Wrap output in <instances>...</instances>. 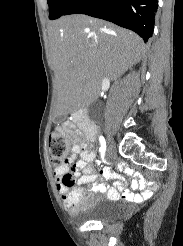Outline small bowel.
<instances>
[{
  "label": "small bowel",
  "mask_w": 183,
  "mask_h": 246,
  "mask_svg": "<svg viewBox=\"0 0 183 246\" xmlns=\"http://www.w3.org/2000/svg\"><path fill=\"white\" fill-rule=\"evenodd\" d=\"M89 140L93 141V139ZM77 154H80V159L74 162ZM95 156V151L91 148L90 144L87 141H81L80 143L73 144L70 147L68 163L64 166L55 168L54 174L56 177V187L66 209L75 213L78 210L87 207L92 202L93 197H84L80 189H74L71 191L70 188L73 186L74 182L73 184H67L65 183L64 178H74V181L77 180V182L83 185L87 190L95 193H105L111 200H118L121 197L127 200L152 197L151 190H147L141 195H134L126 191L128 183L126 179L121 177L119 174H129V179H135L133 181L134 189H148L146 180L140 177V174H136V169H133L132 165H117L115 173L112 172L108 166L102 167L99 170L100 175L105 179H115V187L109 188L103 183L96 185L97 173L95 168L91 165ZM81 171L83 174L80 173ZM75 200H80L82 202V206L80 208L72 207V203Z\"/></svg>",
  "instance_id": "small-bowel-1"
}]
</instances>
